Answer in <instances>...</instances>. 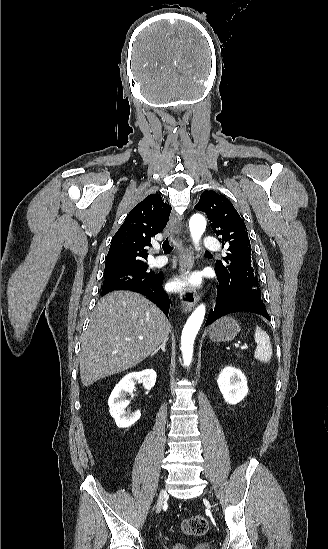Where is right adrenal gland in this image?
Listing matches in <instances>:
<instances>
[{
    "label": "right adrenal gland",
    "instance_id": "2a0ac1e0",
    "mask_svg": "<svg viewBox=\"0 0 328 549\" xmlns=\"http://www.w3.org/2000/svg\"><path fill=\"white\" fill-rule=\"evenodd\" d=\"M165 345H166V341H164L163 345H161V347H159V349H156V351H154L153 355H156V353H158V351H160V349H162L163 353H166Z\"/></svg>",
    "mask_w": 328,
    "mask_h": 549
}]
</instances>
